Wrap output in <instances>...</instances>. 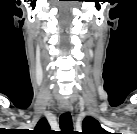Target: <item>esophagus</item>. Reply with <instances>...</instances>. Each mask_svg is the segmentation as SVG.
I'll list each match as a JSON object with an SVG mask.
<instances>
[{
  "instance_id": "obj_1",
  "label": "esophagus",
  "mask_w": 137,
  "mask_h": 134,
  "mask_svg": "<svg viewBox=\"0 0 137 134\" xmlns=\"http://www.w3.org/2000/svg\"><path fill=\"white\" fill-rule=\"evenodd\" d=\"M60 108H61L62 112L67 113L72 110V105L68 100L61 99L60 100Z\"/></svg>"
}]
</instances>
